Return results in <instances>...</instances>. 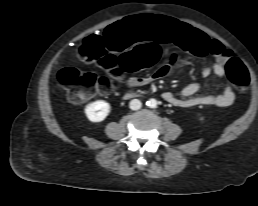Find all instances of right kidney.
<instances>
[{
    "label": "right kidney",
    "instance_id": "ca27d5eb",
    "mask_svg": "<svg viewBox=\"0 0 258 206\" xmlns=\"http://www.w3.org/2000/svg\"><path fill=\"white\" fill-rule=\"evenodd\" d=\"M110 104L103 100H98L85 107L87 118L94 123L102 122L110 113Z\"/></svg>",
    "mask_w": 258,
    "mask_h": 206
}]
</instances>
